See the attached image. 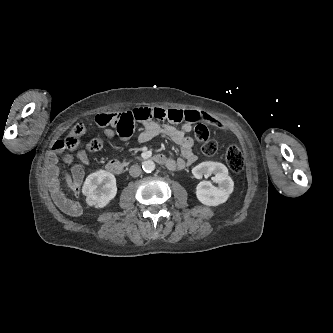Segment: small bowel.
Wrapping results in <instances>:
<instances>
[{
  "label": "small bowel",
  "instance_id": "c3829d8e",
  "mask_svg": "<svg viewBox=\"0 0 333 333\" xmlns=\"http://www.w3.org/2000/svg\"><path fill=\"white\" fill-rule=\"evenodd\" d=\"M128 115L130 129L122 134V138L129 137L133 131V126L136 122L141 123L143 130L138 136L140 142H147L155 136L165 135L170 138L175 144L180 147L182 157L178 159L168 158L165 166L170 170L183 169L187 164H192L197 160L193 153L194 141L186 134L192 130L193 124L203 122L216 126L218 130L226 131L227 125L221 119H215L209 114L197 110H183L178 108H161V107H140L125 112ZM168 121L170 124H163L162 121ZM174 124L180 125L176 128ZM108 137H113L115 131L108 128L105 130ZM82 164H88V158L85 154L78 155ZM66 157V160H69ZM74 180L78 181L82 177L81 168H76L73 174ZM48 183L54 202L62 210L69 214H75L77 210L73 207L72 202L68 199L62 190V185L59 179V166L56 161V156L51 154V163L48 167ZM74 190L79 192L77 182H74Z\"/></svg>",
  "mask_w": 333,
  "mask_h": 333
}]
</instances>
